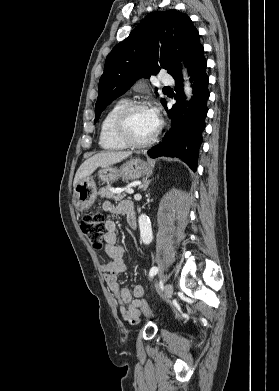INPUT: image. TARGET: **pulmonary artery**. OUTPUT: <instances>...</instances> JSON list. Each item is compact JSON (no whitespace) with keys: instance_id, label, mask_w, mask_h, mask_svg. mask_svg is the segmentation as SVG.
<instances>
[{"instance_id":"pulmonary-artery-1","label":"pulmonary artery","mask_w":279,"mask_h":391,"mask_svg":"<svg viewBox=\"0 0 279 391\" xmlns=\"http://www.w3.org/2000/svg\"><path fill=\"white\" fill-rule=\"evenodd\" d=\"M161 82L164 84H173L174 80L170 75L165 74L161 77Z\"/></svg>"}]
</instances>
